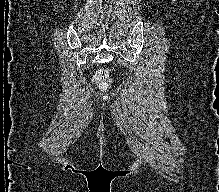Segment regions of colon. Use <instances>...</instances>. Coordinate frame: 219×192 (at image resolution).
Segmentation results:
<instances>
[{
	"instance_id": "5ec220e1",
	"label": "colon",
	"mask_w": 219,
	"mask_h": 192,
	"mask_svg": "<svg viewBox=\"0 0 219 192\" xmlns=\"http://www.w3.org/2000/svg\"><path fill=\"white\" fill-rule=\"evenodd\" d=\"M94 81L102 91H106L112 86V80L109 77V72L105 68H100L95 72Z\"/></svg>"
}]
</instances>
